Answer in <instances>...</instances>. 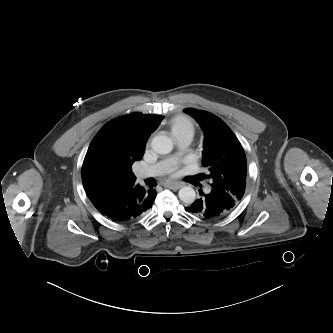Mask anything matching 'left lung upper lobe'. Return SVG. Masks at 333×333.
<instances>
[{"label":"left lung upper lobe","mask_w":333,"mask_h":333,"mask_svg":"<svg viewBox=\"0 0 333 333\" xmlns=\"http://www.w3.org/2000/svg\"><path fill=\"white\" fill-rule=\"evenodd\" d=\"M204 131L202 165L210 171L211 188L229 193L237 205L246 187L247 162L242 145L231 129L215 115L192 108L184 110Z\"/></svg>","instance_id":"5c2ea615"}]
</instances>
